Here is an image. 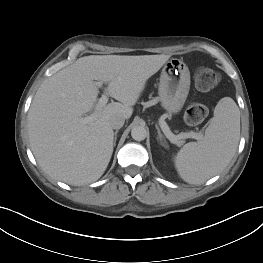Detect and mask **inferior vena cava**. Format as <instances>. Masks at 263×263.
<instances>
[{"label":"inferior vena cava","instance_id":"obj_1","mask_svg":"<svg viewBox=\"0 0 263 263\" xmlns=\"http://www.w3.org/2000/svg\"><path fill=\"white\" fill-rule=\"evenodd\" d=\"M125 122V118L121 115L114 116L111 121L110 125L113 129H120Z\"/></svg>","mask_w":263,"mask_h":263}]
</instances>
